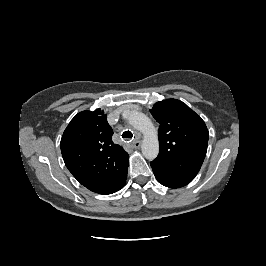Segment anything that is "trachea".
Here are the masks:
<instances>
[{
	"label": "trachea",
	"mask_w": 266,
	"mask_h": 266,
	"mask_svg": "<svg viewBox=\"0 0 266 266\" xmlns=\"http://www.w3.org/2000/svg\"><path fill=\"white\" fill-rule=\"evenodd\" d=\"M133 137V134L131 131H124L123 134H122V138L124 139H131Z\"/></svg>",
	"instance_id": "3493384b"
}]
</instances>
